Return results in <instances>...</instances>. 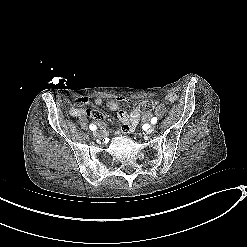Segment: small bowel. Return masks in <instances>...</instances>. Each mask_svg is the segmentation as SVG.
<instances>
[{"mask_svg":"<svg viewBox=\"0 0 247 247\" xmlns=\"http://www.w3.org/2000/svg\"><path fill=\"white\" fill-rule=\"evenodd\" d=\"M178 99V94L175 92H170L166 95V100L169 102H175ZM89 98L86 96H81L75 100V103L69 109V113L74 117H92L96 122L101 123L104 121L105 116L101 112L92 111L89 109H82L80 106L86 105L89 103ZM128 101L125 97H117L115 100H110L105 103L106 107L111 111L116 112L117 118L121 123V130L116 133L118 137L129 134L133 132L138 126L140 120L148 122L153 117L152 113H145L141 115V112L138 108H135L130 113H127L125 110L121 109L120 102ZM93 104L96 106H102L104 104L103 100L100 98H95ZM163 114V109L159 107L156 111V116H161Z\"/></svg>","mask_w":247,"mask_h":247,"instance_id":"obj_1","label":"small bowel"}]
</instances>
